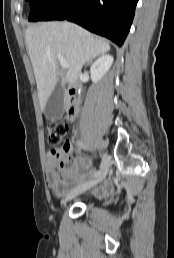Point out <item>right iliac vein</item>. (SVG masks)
Instances as JSON below:
<instances>
[{
	"instance_id": "obj_1",
	"label": "right iliac vein",
	"mask_w": 174,
	"mask_h": 258,
	"mask_svg": "<svg viewBox=\"0 0 174 258\" xmlns=\"http://www.w3.org/2000/svg\"><path fill=\"white\" fill-rule=\"evenodd\" d=\"M109 169V159L107 154H103L102 157V162H101V166H100V174L97 176V179L82 185L77 186L76 188H74L68 195L67 197L63 200V204H66V202H68L69 200L73 199L74 197H76L77 195L81 194L82 192L86 191L87 189H89L90 187H92L93 185H95L96 183L100 182L103 180V178L106 176L107 172Z\"/></svg>"
}]
</instances>
